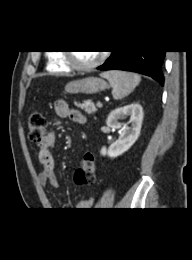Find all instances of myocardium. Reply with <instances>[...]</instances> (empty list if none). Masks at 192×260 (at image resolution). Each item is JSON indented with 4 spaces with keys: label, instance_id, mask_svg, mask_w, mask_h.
<instances>
[{
    "label": "myocardium",
    "instance_id": "obj_1",
    "mask_svg": "<svg viewBox=\"0 0 192 260\" xmlns=\"http://www.w3.org/2000/svg\"><path fill=\"white\" fill-rule=\"evenodd\" d=\"M105 58H106V54L103 53L94 62H92L90 64L82 65L75 61L74 55L72 52L65 51L63 53V59L70 68H72L76 71H83V72L91 71V70L97 68L105 61Z\"/></svg>",
    "mask_w": 192,
    "mask_h": 260
}]
</instances>
